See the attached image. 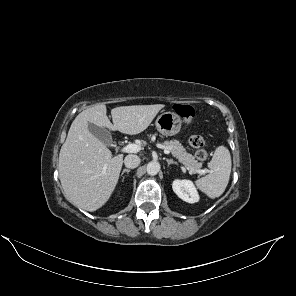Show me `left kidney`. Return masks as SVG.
Instances as JSON below:
<instances>
[{"mask_svg":"<svg viewBox=\"0 0 296 296\" xmlns=\"http://www.w3.org/2000/svg\"><path fill=\"white\" fill-rule=\"evenodd\" d=\"M172 188L179 198L188 203L199 201L198 192L190 180H175L173 181Z\"/></svg>","mask_w":296,"mask_h":296,"instance_id":"left-kidney-1","label":"left kidney"}]
</instances>
